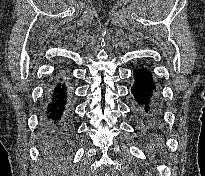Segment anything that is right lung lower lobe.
Segmentation results:
<instances>
[{
    "label": "right lung lower lobe",
    "instance_id": "obj_1",
    "mask_svg": "<svg viewBox=\"0 0 205 176\" xmlns=\"http://www.w3.org/2000/svg\"><path fill=\"white\" fill-rule=\"evenodd\" d=\"M71 91L67 76L54 80L46 99L40 143L49 152H66L71 147Z\"/></svg>",
    "mask_w": 205,
    "mask_h": 176
}]
</instances>
